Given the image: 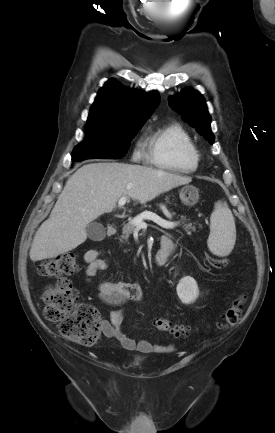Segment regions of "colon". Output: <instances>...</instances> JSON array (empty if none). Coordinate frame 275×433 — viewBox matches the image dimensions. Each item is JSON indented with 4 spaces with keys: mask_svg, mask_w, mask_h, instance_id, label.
Instances as JSON below:
<instances>
[{
    "mask_svg": "<svg viewBox=\"0 0 275 433\" xmlns=\"http://www.w3.org/2000/svg\"><path fill=\"white\" fill-rule=\"evenodd\" d=\"M207 260L215 268L227 265L226 261L212 256H208ZM78 269L77 257L73 253L46 260L38 266L40 276L57 278L56 283L43 292L44 315L48 321L59 325L66 337L82 345H92L100 337V314L90 304L76 307L77 291L67 277L75 274ZM245 298L241 294L230 302L217 324L219 329L231 328L240 321ZM155 326L175 337L185 336L189 331L187 325L167 318H158Z\"/></svg>",
    "mask_w": 275,
    "mask_h": 433,
    "instance_id": "obj_1",
    "label": "colon"
}]
</instances>
